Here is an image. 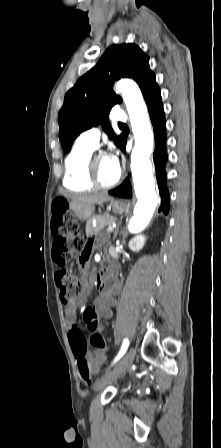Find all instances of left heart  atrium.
Segmentation results:
<instances>
[{"label": "left heart atrium", "mask_w": 221, "mask_h": 448, "mask_svg": "<svg viewBox=\"0 0 221 448\" xmlns=\"http://www.w3.org/2000/svg\"><path fill=\"white\" fill-rule=\"evenodd\" d=\"M110 163L113 170L117 173L120 172V160L117 155L110 156Z\"/></svg>", "instance_id": "obj_1"}]
</instances>
